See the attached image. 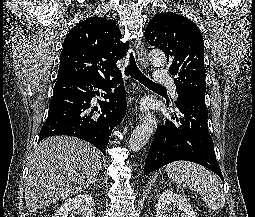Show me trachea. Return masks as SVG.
Returning a JSON list of instances; mask_svg holds the SVG:
<instances>
[{"mask_svg":"<svg viewBox=\"0 0 255 217\" xmlns=\"http://www.w3.org/2000/svg\"><path fill=\"white\" fill-rule=\"evenodd\" d=\"M124 74L126 76H131L132 78L136 79L137 81H139L141 84H143L144 86L151 88V89H165L164 86H161L159 84L154 83L152 80H150L149 78H147L138 68V66L136 65V61L135 58L133 56V53H130L129 56V63L128 65L125 67V71Z\"/></svg>","mask_w":255,"mask_h":217,"instance_id":"1","label":"trachea"}]
</instances>
